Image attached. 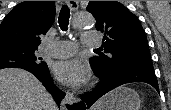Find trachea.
Masks as SVG:
<instances>
[{"label":"trachea","mask_w":171,"mask_h":110,"mask_svg":"<svg viewBox=\"0 0 171 110\" xmlns=\"http://www.w3.org/2000/svg\"><path fill=\"white\" fill-rule=\"evenodd\" d=\"M69 18H70V9L68 8L67 5H63L60 10V14L58 18L59 26L62 31H67ZM96 50H99V49H96Z\"/></svg>","instance_id":"3493384b"}]
</instances>
